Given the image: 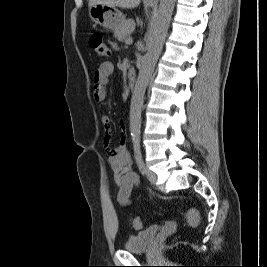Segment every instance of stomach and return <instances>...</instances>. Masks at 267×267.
I'll use <instances>...</instances> for the list:
<instances>
[{
	"label": "stomach",
	"mask_w": 267,
	"mask_h": 267,
	"mask_svg": "<svg viewBox=\"0 0 267 267\" xmlns=\"http://www.w3.org/2000/svg\"><path fill=\"white\" fill-rule=\"evenodd\" d=\"M152 6L153 4H149ZM91 20L105 29L118 31L126 21L125 16L115 7L96 4L89 7Z\"/></svg>",
	"instance_id": "stomach-1"
}]
</instances>
